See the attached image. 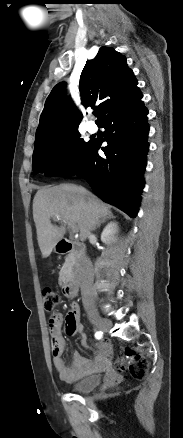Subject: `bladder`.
<instances>
[{
    "label": "bladder",
    "mask_w": 183,
    "mask_h": 438,
    "mask_svg": "<svg viewBox=\"0 0 183 438\" xmlns=\"http://www.w3.org/2000/svg\"><path fill=\"white\" fill-rule=\"evenodd\" d=\"M101 382V376L98 374L85 376L77 381H75L71 389L78 393H87L95 389Z\"/></svg>",
    "instance_id": "bladder-1"
}]
</instances>
